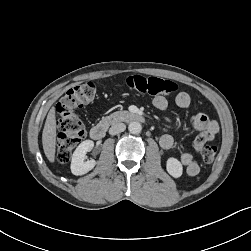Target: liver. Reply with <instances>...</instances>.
<instances>
[{
  "label": "liver",
  "instance_id": "liver-1",
  "mask_svg": "<svg viewBox=\"0 0 251 251\" xmlns=\"http://www.w3.org/2000/svg\"><path fill=\"white\" fill-rule=\"evenodd\" d=\"M42 144L45 156L54 163L56 152V116L55 108L52 107L47 115L42 133Z\"/></svg>",
  "mask_w": 251,
  "mask_h": 251
}]
</instances>
